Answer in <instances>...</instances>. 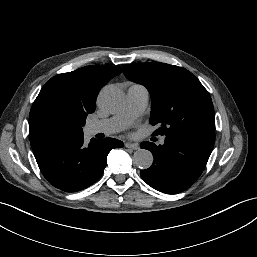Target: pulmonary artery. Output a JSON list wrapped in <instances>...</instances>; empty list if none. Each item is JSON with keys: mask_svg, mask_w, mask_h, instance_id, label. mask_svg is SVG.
<instances>
[{"mask_svg": "<svg viewBox=\"0 0 257 257\" xmlns=\"http://www.w3.org/2000/svg\"><path fill=\"white\" fill-rule=\"evenodd\" d=\"M148 101L149 92L144 86L138 84L131 85L127 91V101L124 110L109 119L89 123L87 125L88 134H112L123 130L133 119L143 113ZM161 143H164V138L161 139Z\"/></svg>", "mask_w": 257, "mask_h": 257, "instance_id": "e3ab8cb5", "label": "pulmonary artery"}]
</instances>
